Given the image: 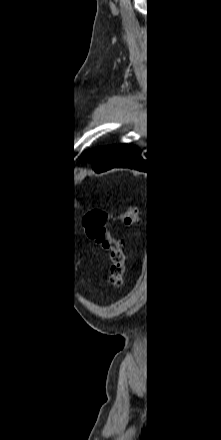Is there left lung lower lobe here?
<instances>
[{
	"mask_svg": "<svg viewBox=\"0 0 221 440\" xmlns=\"http://www.w3.org/2000/svg\"><path fill=\"white\" fill-rule=\"evenodd\" d=\"M132 168L137 169L141 171H147L150 169V164L147 161L144 160L140 150L136 146H131L126 153V155L117 163L109 166L107 169L103 170H109L111 168ZM100 171V172H103Z\"/></svg>",
	"mask_w": 221,
	"mask_h": 440,
	"instance_id": "left-lung-lower-lobe-1",
	"label": "left lung lower lobe"
}]
</instances>
